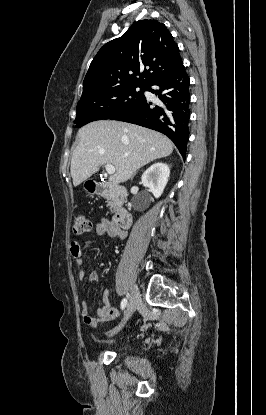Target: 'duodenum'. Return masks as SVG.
I'll use <instances>...</instances> for the list:
<instances>
[{
	"instance_id": "1",
	"label": "duodenum",
	"mask_w": 266,
	"mask_h": 415,
	"mask_svg": "<svg viewBox=\"0 0 266 415\" xmlns=\"http://www.w3.org/2000/svg\"><path fill=\"white\" fill-rule=\"evenodd\" d=\"M89 190L95 195H113L118 203V207L113 217L114 224L121 229H127L131 226L132 215L123 206L127 197L125 188L109 182L91 181L89 183Z\"/></svg>"
}]
</instances>
